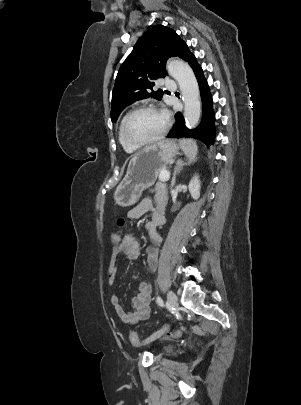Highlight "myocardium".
<instances>
[{
    "instance_id": "myocardium-1",
    "label": "myocardium",
    "mask_w": 301,
    "mask_h": 405,
    "mask_svg": "<svg viewBox=\"0 0 301 405\" xmlns=\"http://www.w3.org/2000/svg\"><path fill=\"white\" fill-rule=\"evenodd\" d=\"M142 111H155V112L160 113L164 117V127L162 128L160 133L158 135H156L155 137L145 140V141H137V140L132 139L129 136L128 123L135 114L142 112ZM170 125H171V121H170L169 116L166 113L162 112L160 109H158L154 105H142V106L134 108L124 117L123 123H122V129H121L122 137L125 140V142L128 143L129 145L136 147V148H140V147H144L147 145H151V144L163 139L165 137V135L168 133Z\"/></svg>"
}]
</instances>
